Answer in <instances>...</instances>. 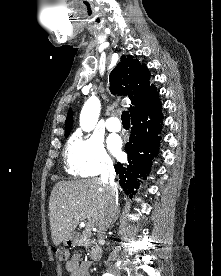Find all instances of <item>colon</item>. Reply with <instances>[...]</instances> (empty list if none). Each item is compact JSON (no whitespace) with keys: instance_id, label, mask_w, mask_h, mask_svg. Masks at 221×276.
<instances>
[{"instance_id":"1","label":"colon","mask_w":221,"mask_h":276,"mask_svg":"<svg viewBox=\"0 0 221 276\" xmlns=\"http://www.w3.org/2000/svg\"><path fill=\"white\" fill-rule=\"evenodd\" d=\"M56 257L60 262H66L69 258V252L63 248L62 245L58 246V249L55 251Z\"/></svg>"}]
</instances>
